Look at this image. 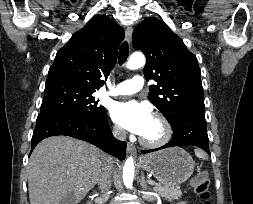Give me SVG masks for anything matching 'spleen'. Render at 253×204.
Returning a JSON list of instances; mask_svg holds the SVG:
<instances>
[{
	"mask_svg": "<svg viewBox=\"0 0 253 204\" xmlns=\"http://www.w3.org/2000/svg\"><path fill=\"white\" fill-rule=\"evenodd\" d=\"M195 154H196V156L199 157V158L207 159L206 154H205L204 152L198 150V149L195 150Z\"/></svg>",
	"mask_w": 253,
	"mask_h": 204,
	"instance_id": "1",
	"label": "spleen"
}]
</instances>
